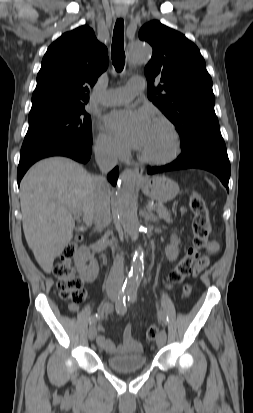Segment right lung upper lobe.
Listing matches in <instances>:
<instances>
[{"label": "right lung upper lobe", "instance_id": "obj_1", "mask_svg": "<svg viewBox=\"0 0 253 413\" xmlns=\"http://www.w3.org/2000/svg\"><path fill=\"white\" fill-rule=\"evenodd\" d=\"M107 66V48L97 41L89 26L63 34L43 57L30 112L85 105L89 89Z\"/></svg>", "mask_w": 253, "mask_h": 413}]
</instances>
